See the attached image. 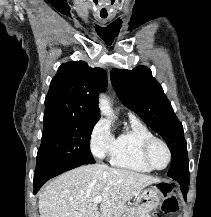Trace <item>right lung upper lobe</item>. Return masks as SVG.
<instances>
[{
  "label": "right lung upper lobe",
  "mask_w": 211,
  "mask_h": 217,
  "mask_svg": "<svg viewBox=\"0 0 211 217\" xmlns=\"http://www.w3.org/2000/svg\"><path fill=\"white\" fill-rule=\"evenodd\" d=\"M107 83L105 70L83 61L62 64L45 98L44 120L64 117L99 120L98 93Z\"/></svg>",
  "instance_id": "obj_1"
}]
</instances>
